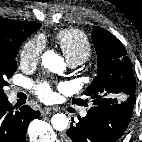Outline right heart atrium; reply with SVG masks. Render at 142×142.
<instances>
[{"label":"right heart atrium","instance_id":"obj_1","mask_svg":"<svg viewBox=\"0 0 142 142\" xmlns=\"http://www.w3.org/2000/svg\"><path fill=\"white\" fill-rule=\"evenodd\" d=\"M45 48V41L42 36H35L28 39L20 50V62L24 66L37 64Z\"/></svg>","mask_w":142,"mask_h":142}]
</instances>
